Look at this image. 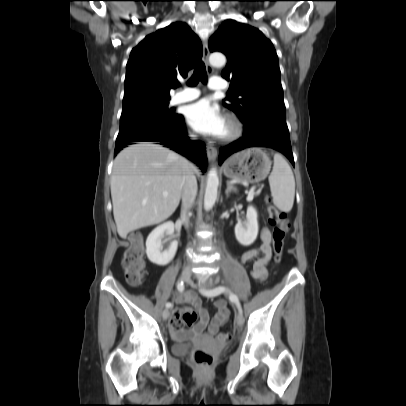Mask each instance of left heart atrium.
Masks as SVG:
<instances>
[{"mask_svg": "<svg viewBox=\"0 0 406 406\" xmlns=\"http://www.w3.org/2000/svg\"><path fill=\"white\" fill-rule=\"evenodd\" d=\"M188 124L198 133L221 137L225 128V119L218 107L206 100H200L186 109Z\"/></svg>", "mask_w": 406, "mask_h": 406, "instance_id": "left-heart-atrium-1", "label": "left heart atrium"}]
</instances>
